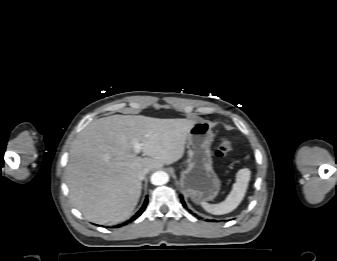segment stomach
Segmentation results:
<instances>
[{"mask_svg": "<svg viewBox=\"0 0 337 261\" xmlns=\"http://www.w3.org/2000/svg\"><path fill=\"white\" fill-rule=\"evenodd\" d=\"M214 134L208 121H197L188 133V164L180 173V188L193 202L212 201L221 181L213 169L211 144Z\"/></svg>", "mask_w": 337, "mask_h": 261, "instance_id": "obj_1", "label": "stomach"}]
</instances>
